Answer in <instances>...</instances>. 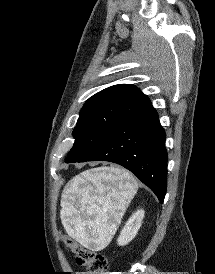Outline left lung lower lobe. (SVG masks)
Instances as JSON below:
<instances>
[{
	"mask_svg": "<svg viewBox=\"0 0 215 274\" xmlns=\"http://www.w3.org/2000/svg\"><path fill=\"white\" fill-rule=\"evenodd\" d=\"M165 138L157 112L149 105L116 127L85 157L73 162L117 163L134 173L163 203L167 187Z\"/></svg>",
	"mask_w": 215,
	"mask_h": 274,
	"instance_id": "1",
	"label": "left lung lower lobe"
}]
</instances>
